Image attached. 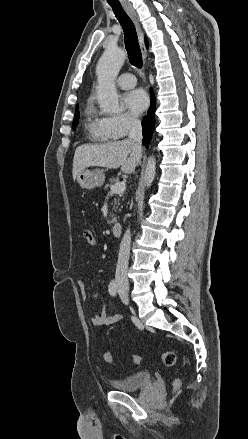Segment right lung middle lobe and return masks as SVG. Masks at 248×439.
<instances>
[{
    "label": "right lung middle lobe",
    "instance_id": "dd1d6c3e",
    "mask_svg": "<svg viewBox=\"0 0 248 439\" xmlns=\"http://www.w3.org/2000/svg\"><path fill=\"white\" fill-rule=\"evenodd\" d=\"M79 121V110L75 111V116L73 119V129L75 130V127L77 126Z\"/></svg>",
    "mask_w": 248,
    "mask_h": 439
}]
</instances>
